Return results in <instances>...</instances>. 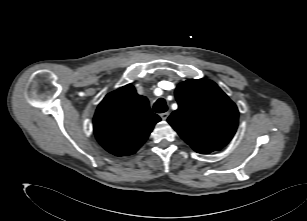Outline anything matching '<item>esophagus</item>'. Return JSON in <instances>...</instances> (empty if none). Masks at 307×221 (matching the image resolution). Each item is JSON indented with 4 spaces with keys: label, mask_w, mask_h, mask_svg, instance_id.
Masks as SVG:
<instances>
[{
    "label": "esophagus",
    "mask_w": 307,
    "mask_h": 221,
    "mask_svg": "<svg viewBox=\"0 0 307 221\" xmlns=\"http://www.w3.org/2000/svg\"><path fill=\"white\" fill-rule=\"evenodd\" d=\"M169 114H170L169 111H167V112L162 113L160 116H161L162 120H166L168 118Z\"/></svg>",
    "instance_id": "1"
}]
</instances>
